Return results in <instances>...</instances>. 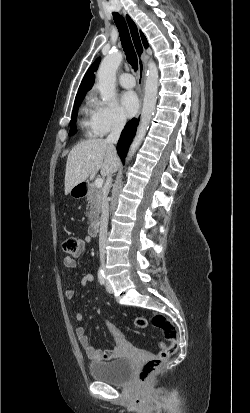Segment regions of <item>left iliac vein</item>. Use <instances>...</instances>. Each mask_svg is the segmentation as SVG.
<instances>
[{
	"mask_svg": "<svg viewBox=\"0 0 250 413\" xmlns=\"http://www.w3.org/2000/svg\"><path fill=\"white\" fill-rule=\"evenodd\" d=\"M106 290H107L109 293H112V292H113L112 286L110 285V283H109L108 280H106Z\"/></svg>",
	"mask_w": 250,
	"mask_h": 413,
	"instance_id": "1",
	"label": "left iliac vein"
}]
</instances>
